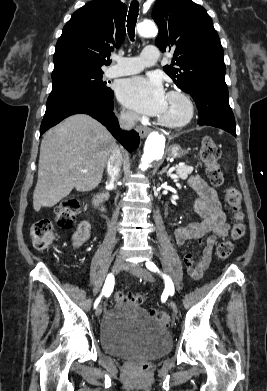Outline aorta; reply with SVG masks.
<instances>
[{
    "label": "aorta",
    "mask_w": 267,
    "mask_h": 391,
    "mask_svg": "<svg viewBox=\"0 0 267 391\" xmlns=\"http://www.w3.org/2000/svg\"><path fill=\"white\" fill-rule=\"evenodd\" d=\"M137 31L142 37H153L157 35V27L152 21H143L137 25ZM165 137L158 132L148 135L144 146V153L141 158V168L146 170L152 163L163 155Z\"/></svg>",
    "instance_id": "762f6f07"
}]
</instances>
